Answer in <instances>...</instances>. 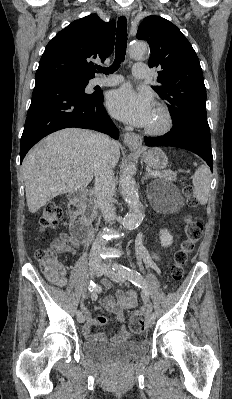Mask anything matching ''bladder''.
<instances>
[{
  "label": "bladder",
  "instance_id": "1",
  "mask_svg": "<svg viewBox=\"0 0 232 399\" xmlns=\"http://www.w3.org/2000/svg\"><path fill=\"white\" fill-rule=\"evenodd\" d=\"M149 349L148 342L139 341H87L81 345L84 357L93 360L127 363L144 356Z\"/></svg>",
  "mask_w": 232,
  "mask_h": 399
}]
</instances>
